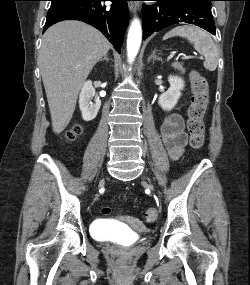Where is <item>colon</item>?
I'll return each instance as SVG.
<instances>
[{
    "label": "colon",
    "mask_w": 250,
    "mask_h": 285,
    "mask_svg": "<svg viewBox=\"0 0 250 285\" xmlns=\"http://www.w3.org/2000/svg\"><path fill=\"white\" fill-rule=\"evenodd\" d=\"M190 83L192 97L188 108L187 128L190 135V146L194 150H198L203 146L205 140L204 115L209 101V84L207 79L197 71L191 72ZM81 132V126L75 125L66 132V138L75 140ZM102 213L110 214V207H104ZM143 215L146 221L153 222L156 220L158 212L151 207L145 210Z\"/></svg>",
    "instance_id": "1"
}]
</instances>
